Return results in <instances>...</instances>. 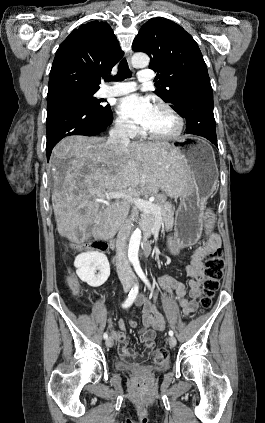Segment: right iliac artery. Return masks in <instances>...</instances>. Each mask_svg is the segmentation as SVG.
<instances>
[{"label":"right iliac artery","instance_id":"1","mask_svg":"<svg viewBox=\"0 0 265 423\" xmlns=\"http://www.w3.org/2000/svg\"><path fill=\"white\" fill-rule=\"evenodd\" d=\"M137 294H138V285L135 284L134 287L129 292V295H128L126 301L122 304V307L123 308L129 307L134 302ZM103 337H104V339H107L108 338V334L107 333H104Z\"/></svg>","mask_w":265,"mask_h":423}]
</instances>
